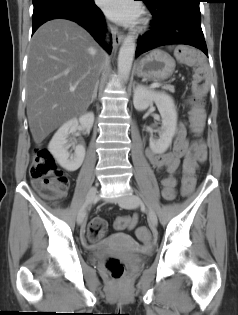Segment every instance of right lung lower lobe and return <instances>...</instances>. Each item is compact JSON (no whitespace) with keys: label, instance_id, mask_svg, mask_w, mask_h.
<instances>
[{"label":"right lung lower lobe","instance_id":"98d812e1","mask_svg":"<svg viewBox=\"0 0 238 315\" xmlns=\"http://www.w3.org/2000/svg\"><path fill=\"white\" fill-rule=\"evenodd\" d=\"M34 5L32 34L52 19H68L83 26L108 52L111 46L104 42L106 24L102 11L94 0H32Z\"/></svg>","mask_w":238,"mask_h":315}]
</instances>
